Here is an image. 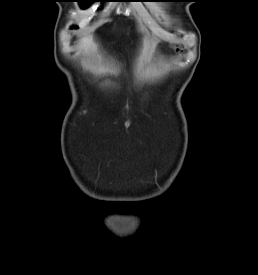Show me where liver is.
I'll use <instances>...</instances> for the list:
<instances>
[{
  "instance_id": "liver-1",
  "label": "liver",
  "mask_w": 258,
  "mask_h": 275,
  "mask_svg": "<svg viewBox=\"0 0 258 275\" xmlns=\"http://www.w3.org/2000/svg\"><path fill=\"white\" fill-rule=\"evenodd\" d=\"M79 47L85 52H95L96 44L94 42L92 35H85L79 39ZM145 48H148V44L145 45Z\"/></svg>"
}]
</instances>
